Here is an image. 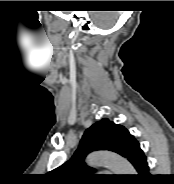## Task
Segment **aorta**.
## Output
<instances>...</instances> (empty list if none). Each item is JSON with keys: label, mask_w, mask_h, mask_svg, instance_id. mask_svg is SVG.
Returning <instances> with one entry per match:
<instances>
[{"label": "aorta", "mask_w": 174, "mask_h": 184, "mask_svg": "<svg viewBox=\"0 0 174 184\" xmlns=\"http://www.w3.org/2000/svg\"><path fill=\"white\" fill-rule=\"evenodd\" d=\"M87 163L91 166H105L115 174H135L133 166L122 156L109 151H95L88 155Z\"/></svg>", "instance_id": "obj_1"}]
</instances>
